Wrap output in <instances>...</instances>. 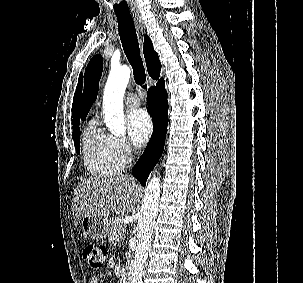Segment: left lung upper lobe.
<instances>
[{"label":"left lung upper lobe","instance_id":"1","mask_svg":"<svg viewBox=\"0 0 303 283\" xmlns=\"http://www.w3.org/2000/svg\"><path fill=\"white\" fill-rule=\"evenodd\" d=\"M103 58L101 55H95L90 60L86 68L85 91L82 99V119L89 112L93 102L96 100L98 85L102 75Z\"/></svg>","mask_w":303,"mask_h":283}]
</instances>
